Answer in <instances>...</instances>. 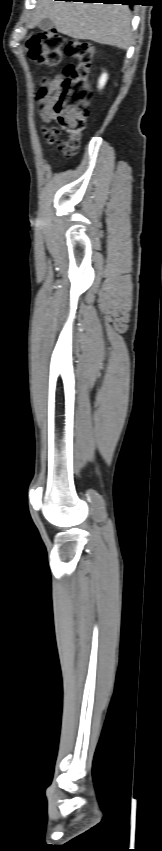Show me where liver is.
<instances>
[{"mask_svg": "<svg viewBox=\"0 0 162 851\" xmlns=\"http://www.w3.org/2000/svg\"><path fill=\"white\" fill-rule=\"evenodd\" d=\"M49 18L56 29L69 37L99 44L129 48L132 41L128 6L103 3L38 0L28 28Z\"/></svg>", "mask_w": 162, "mask_h": 851, "instance_id": "1", "label": "liver"}]
</instances>
